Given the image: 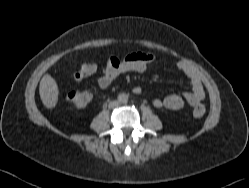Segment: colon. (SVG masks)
I'll return each instance as SVG.
<instances>
[{"label": "colon", "instance_id": "5ec220e1", "mask_svg": "<svg viewBox=\"0 0 249 188\" xmlns=\"http://www.w3.org/2000/svg\"><path fill=\"white\" fill-rule=\"evenodd\" d=\"M95 71V66L93 64H83L74 73V78L80 80L86 76L91 75ZM91 101V94L87 91L73 90L69 93L67 97V103L70 107H84ZM205 114L204 105H197L193 110V117L198 119Z\"/></svg>", "mask_w": 249, "mask_h": 188}]
</instances>
